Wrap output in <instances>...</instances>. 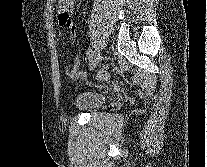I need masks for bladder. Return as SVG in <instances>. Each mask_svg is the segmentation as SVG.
Masks as SVG:
<instances>
[{
  "mask_svg": "<svg viewBox=\"0 0 207 167\" xmlns=\"http://www.w3.org/2000/svg\"><path fill=\"white\" fill-rule=\"evenodd\" d=\"M107 101V95L101 91H85L73 101V106L80 111H91L101 107Z\"/></svg>",
  "mask_w": 207,
  "mask_h": 167,
  "instance_id": "31cf9c89",
  "label": "bladder"
}]
</instances>
